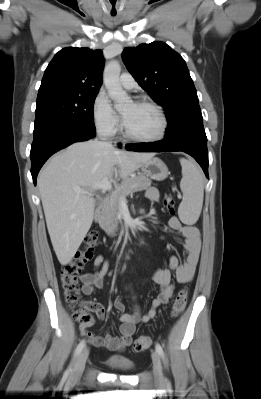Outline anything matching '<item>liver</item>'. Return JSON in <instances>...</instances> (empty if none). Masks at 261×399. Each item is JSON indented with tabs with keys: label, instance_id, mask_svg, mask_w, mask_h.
<instances>
[{
	"label": "liver",
	"instance_id": "liver-1",
	"mask_svg": "<svg viewBox=\"0 0 261 399\" xmlns=\"http://www.w3.org/2000/svg\"><path fill=\"white\" fill-rule=\"evenodd\" d=\"M153 156L89 140L74 143L51 158L37 184L51 242L62 265L72 260L92 225L95 199L88 189L105 177L127 179Z\"/></svg>",
	"mask_w": 261,
	"mask_h": 399
}]
</instances>
